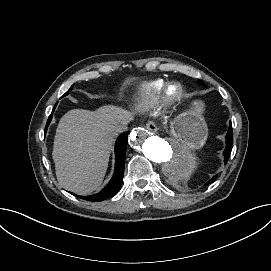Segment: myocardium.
<instances>
[{
    "instance_id": "1",
    "label": "myocardium",
    "mask_w": 271,
    "mask_h": 271,
    "mask_svg": "<svg viewBox=\"0 0 271 271\" xmlns=\"http://www.w3.org/2000/svg\"><path fill=\"white\" fill-rule=\"evenodd\" d=\"M165 93L169 100H177L183 96L184 86L178 81L170 82L166 86Z\"/></svg>"
}]
</instances>
